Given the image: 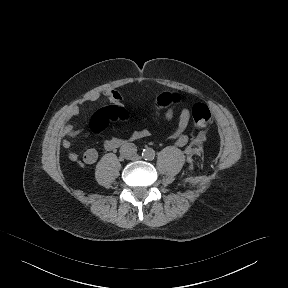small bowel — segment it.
<instances>
[{
	"label": "small bowel",
	"mask_w": 288,
	"mask_h": 288,
	"mask_svg": "<svg viewBox=\"0 0 288 288\" xmlns=\"http://www.w3.org/2000/svg\"><path fill=\"white\" fill-rule=\"evenodd\" d=\"M117 142L115 140H110L105 142V148L111 150L115 148ZM98 154L94 149H88L83 156L84 162L87 164H93L97 160Z\"/></svg>",
	"instance_id": "1"
}]
</instances>
